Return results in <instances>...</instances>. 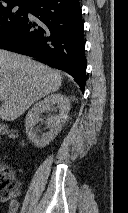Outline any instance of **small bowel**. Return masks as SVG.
I'll use <instances>...</instances> for the list:
<instances>
[{
  "instance_id": "1",
  "label": "small bowel",
  "mask_w": 128,
  "mask_h": 213,
  "mask_svg": "<svg viewBox=\"0 0 128 213\" xmlns=\"http://www.w3.org/2000/svg\"><path fill=\"white\" fill-rule=\"evenodd\" d=\"M18 209H19V202L17 200L10 201L8 213H17Z\"/></svg>"
}]
</instances>
